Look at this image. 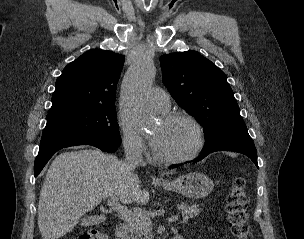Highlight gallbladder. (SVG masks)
<instances>
[{"instance_id":"obj_1","label":"gallbladder","mask_w":304,"mask_h":239,"mask_svg":"<svg viewBox=\"0 0 304 239\" xmlns=\"http://www.w3.org/2000/svg\"><path fill=\"white\" fill-rule=\"evenodd\" d=\"M93 222H92V218L91 217H87V218H83L81 219V225L82 226H89L91 225Z\"/></svg>"}]
</instances>
